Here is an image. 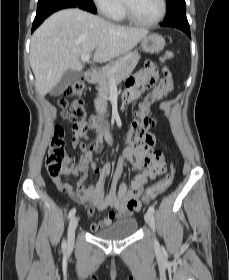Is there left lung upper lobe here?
<instances>
[{
	"instance_id": "left-lung-upper-lobe-1",
	"label": "left lung upper lobe",
	"mask_w": 229,
	"mask_h": 280,
	"mask_svg": "<svg viewBox=\"0 0 229 280\" xmlns=\"http://www.w3.org/2000/svg\"><path fill=\"white\" fill-rule=\"evenodd\" d=\"M166 2H167V14L164 21L179 16H186L185 0H166Z\"/></svg>"
}]
</instances>
